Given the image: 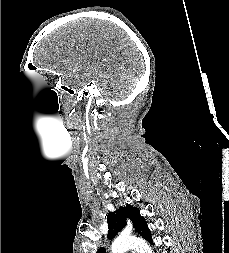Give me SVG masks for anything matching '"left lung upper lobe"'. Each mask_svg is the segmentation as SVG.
<instances>
[{
    "instance_id": "obj_1",
    "label": "left lung upper lobe",
    "mask_w": 229,
    "mask_h": 253,
    "mask_svg": "<svg viewBox=\"0 0 229 253\" xmlns=\"http://www.w3.org/2000/svg\"><path fill=\"white\" fill-rule=\"evenodd\" d=\"M126 218H129L135 230L146 240L152 242L150 230L143 216L140 215L139 209L131 205L120 207L115 212L107 215L108 239H112L116 234L126 226ZM96 253H106L105 248L101 247Z\"/></svg>"
}]
</instances>
